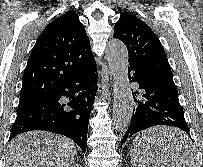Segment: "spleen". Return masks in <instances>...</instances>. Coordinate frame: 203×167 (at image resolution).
<instances>
[{
	"instance_id": "obj_1",
	"label": "spleen",
	"mask_w": 203,
	"mask_h": 167,
	"mask_svg": "<svg viewBox=\"0 0 203 167\" xmlns=\"http://www.w3.org/2000/svg\"><path fill=\"white\" fill-rule=\"evenodd\" d=\"M182 142L187 144L190 148V143L188 137L184 136ZM131 160L134 167H164L165 165L157 160L153 153H151L147 148L143 147L139 140H136L131 149ZM181 162V161H180ZM187 167H195V158L193 153L187 154V160L184 163ZM185 165L183 167H185ZM178 167H182L181 163Z\"/></svg>"
}]
</instances>
